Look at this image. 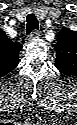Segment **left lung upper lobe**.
<instances>
[{"label":"left lung upper lobe","instance_id":"5c2ea615","mask_svg":"<svg viewBox=\"0 0 77 125\" xmlns=\"http://www.w3.org/2000/svg\"><path fill=\"white\" fill-rule=\"evenodd\" d=\"M58 42L55 46L56 51V67L65 65L77 68V33L63 29L58 35Z\"/></svg>","mask_w":77,"mask_h":125}]
</instances>
